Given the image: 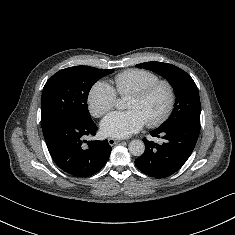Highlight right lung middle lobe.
<instances>
[{
    "label": "right lung middle lobe",
    "instance_id": "dd1d6c3e",
    "mask_svg": "<svg viewBox=\"0 0 235 235\" xmlns=\"http://www.w3.org/2000/svg\"><path fill=\"white\" fill-rule=\"evenodd\" d=\"M113 71L74 66L54 74L46 82L41 97L43 132L62 120L92 121L87 107L88 93L97 80Z\"/></svg>",
    "mask_w": 235,
    "mask_h": 235
}]
</instances>
